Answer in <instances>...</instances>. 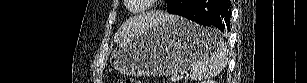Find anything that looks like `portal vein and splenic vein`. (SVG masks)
<instances>
[{"label": "portal vein and splenic vein", "instance_id": "obj_1", "mask_svg": "<svg viewBox=\"0 0 307 83\" xmlns=\"http://www.w3.org/2000/svg\"><path fill=\"white\" fill-rule=\"evenodd\" d=\"M183 78V74H179V75H177L175 78H174V80L176 81V80H179V79H182Z\"/></svg>", "mask_w": 307, "mask_h": 83}]
</instances>
